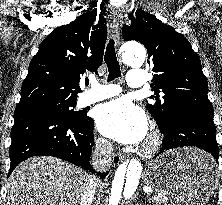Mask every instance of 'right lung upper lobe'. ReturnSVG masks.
<instances>
[{
  "label": "right lung upper lobe",
  "mask_w": 222,
  "mask_h": 205,
  "mask_svg": "<svg viewBox=\"0 0 222 205\" xmlns=\"http://www.w3.org/2000/svg\"><path fill=\"white\" fill-rule=\"evenodd\" d=\"M86 11L70 24L57 27L41 43L23 81L15 111L33 109L48 101H76L86 71L97 72L107 39L104 16Z\"/></svg>",
  "instance_id": "obj_1"
}]
</instances>
